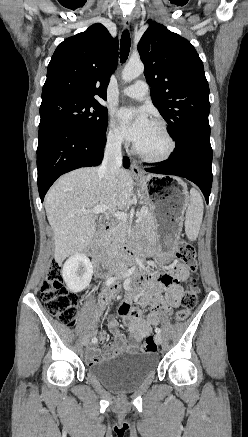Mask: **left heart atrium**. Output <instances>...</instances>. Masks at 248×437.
<instances>
[{
	"instance_id": "1",
	"label": "left heart atrium",
	"mask_w": 248,
	"mask_h": 437,
	"mask_svg": "<svg viewBox=\"0 0 248 437\" xmlns=\"http://www.w3.org/2000/svg\"><path fill=\"white\" fill-rule=\"evenodd\" d=\"M121 134L135 145L151 125L147 112L141 108H121L117 112Z\"/></svg>"
}]
</instances>
